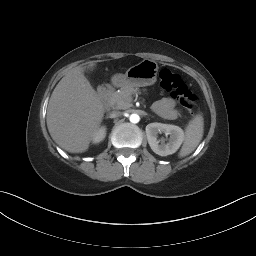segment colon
<instances>
[{
	"instance_id": "5ec220e1",
	"label": "colon",
	"mask_w": 256,
	"mask_h": 256,
	"mask_svg": "<svg viewBox=\"0 0 256 256\" xmlns=\"http://www.w3.org/2000/svg\"><path fill=\"white\" fill-rule=\"evenodd\" d=\"M159 82L161 88L171 93L177 101L186 109H193L198 103V97L193 94L181 77L168 68H163L159 72Z\"/></svg>"
}]
</instances>
